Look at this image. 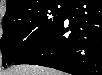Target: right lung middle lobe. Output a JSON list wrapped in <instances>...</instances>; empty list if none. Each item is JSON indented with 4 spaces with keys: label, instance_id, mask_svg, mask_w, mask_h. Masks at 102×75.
<instances>
[{
    "label": "right lung middle lobe",
    "instance_id": "right-lung-middle-lobe-1",
    "mask_svg": "<svg viewBox=\"0 0 102 75\" xmlns=\"http://www.w3.org/2000/svg\"><path fill=\"white\" fill-rule=\"evenodd\" d=\"M69 2L52 1L5 14L1 39L3 66L16 63L30 54L62 21Z\"/></svg>",
    "mask_w": 102,
    "mask_h": 75
}]
</instances>
